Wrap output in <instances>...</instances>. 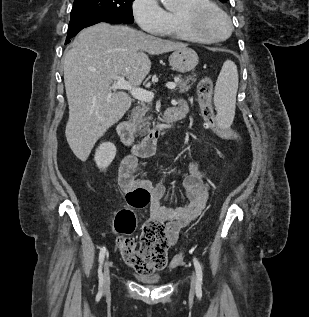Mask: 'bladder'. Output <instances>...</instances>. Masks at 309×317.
Wrapping results in <instances>:
<instances>
[{"instance_id":"obj_1","label":"bladder","mask_w":309,"mask_h":317,"mask_svg":"<svg viewBox=\"0 0 309 317\" xmlns=\"http://www.w3.org/2000/svg\"><path fill=\"white\" fill-rule=\"evenodd\" d=\"M136 278L146 284H157L161 281L159 274H137Z\"/></svg>"}]
</instances>
